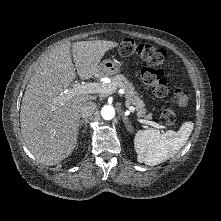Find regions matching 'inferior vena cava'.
Masks as SVG:
<instances>
[{
    "label": "inferior vena cava",
    "instance_id": "inferior-vena-cava-1",
    "mask_svg": "<svg viewBox=\"0 0 221 221\" xmlns=\"http://www.w3.org/2000/svg\"><path fill=\"white\" fill-rule=\"evenodd\" d=\"M96 107V103L92 101L86 102L80 109V116L83 118L92 116L96 110Z\"/></svg>",
    "mask_w": 221,
    "mask_h": 221
}]
</instances>
